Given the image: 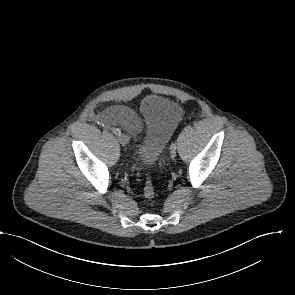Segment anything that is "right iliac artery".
Here are the masks:
<instances>
[{"mask_svg":"<svg viewBox=\"0 0 295 295\" xmlns=\"http://www.w3.org/2000/svg\"><path fill=\"white\" fill-rule=\"evenodd\" d=\"M113 133L119 136L121 134V131L119 129H114Z\"/></svg>","mask_w":295,"mask_h":295,"instance_id":"obj_1","label":"right iliac artery"}]
</instances>
